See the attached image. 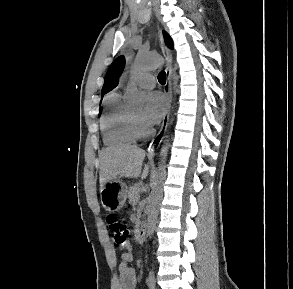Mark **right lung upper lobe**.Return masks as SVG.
<instances>
[{
	"instance_id": "cb5924a9",
	"label": "right lung upper lobe",
	"mask_w": 293,
	"mask_h": 289,
	"mask_svg": "<svg viewBox=\"0 0 293 289\" xmlns=\"http://www.w3.org/2000/svg\"><path fill=\"white\" fill-rule=\"evenodd\" d=\"M125 65L124 57H118L110 66L106 78L105 83L102 88V95L105 93L111 91L113 88H115L119 81V75L122 73L123 68Z\"/></svg>"
}]
</instances>
